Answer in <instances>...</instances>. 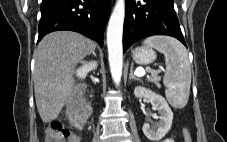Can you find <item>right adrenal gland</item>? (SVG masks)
<instances>
[{
  "instance_id": "1",
  "label": "right adrenal gland",
  "mask_w": 227,
  "mask_h": 142,
  "mask_svg": "<svg viewBox=\"0 0 227 142\" xmlns=\"http://www.w3.org/2000/svg\"><path fill=\"white\" fill-rule=\"evenodd\" d=\"M92 55L95 57L96 56V53H95V51L93 50L92 51Z\"/></svg>"
}]
</instances>
